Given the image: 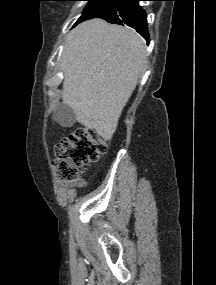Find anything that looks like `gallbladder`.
Masks as SVG:
<instances>
[{"instance_id": "1", "label": "gallbladder", "mask_w": 216, "mask_h": 285, "mask_svg": "<svg viewBox=\"0 0 216 285\" xmlns=\"http://www.w3.org/2000/svg\"><path fill=\"white\" fill-rule=\"evenodd\" d=\"M55 121L64 127H71L76 122V116L71 107L66 104H59L53 115Z\"/></svg>"}]
</instances>
